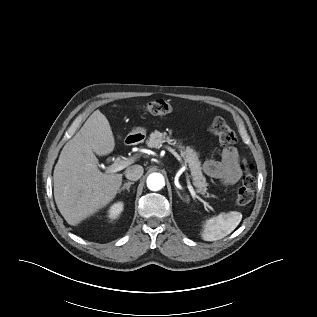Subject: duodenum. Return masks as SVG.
Wrapping results in <instances>:
<instances>
[{
  "label": "duodenum",
  "mask_w": 317,
  "mask_h": 317,
  "mask_svg": "<svg viewBox=\"0 0 317 317\" xmlns=\"http://www.w3.org/2000/svg\"><path fill=\"white\" fill-rule=\"evenodd\" d=\"M134 141V137H129L126 139L127 143H132Z\"/></svg>",
  "instance_id": "obj_1"
}]
</instances>
